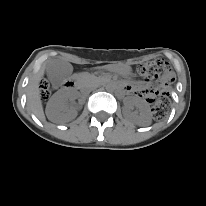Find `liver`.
Wrapping results in <instances>:
<instances>
[{
  "label": "liver",
  "instance_id": "liver-1",
  "mask_svg": "<svg viewBox=\"0 0 206 206\" xmlns=\"http://www.w3.org/2000/svg\"><path fill=\"white\" fill-rule=\"evenodd\" d=\"M45 69L46 66L44 65L30 80L27 86V107L41 121H45V115L40 96L39 84ZM75 117L76 113H72L67 108H65L64 111L56 113L54 117H49V119L54 123L62 124L73 120Z\"/></svg>",
  "mask_w": 206,
  "mask_h": 206
}]
</instances>
